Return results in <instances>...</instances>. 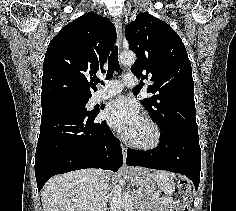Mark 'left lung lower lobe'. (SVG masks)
Wrapping results in <instances>:
<instances>
[{
	"instance_id": "1",
	"label": "left lung lower lobe",
	"mask_w": 236,
	"mask_h": 211,
	"mask_svg": "<svg viewBox=\"0 0 236 211\" xmlns=\"http://www.w3.org/2000/svg\"><path fill=\"white\" fill-rule=\"evenodd\" d=\"M127 164L168 170L187 176L198 189L201 149L198 131H166L161 133L158 148L149 151H127Z\"/></svg>"
}]
</instances>
